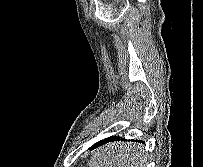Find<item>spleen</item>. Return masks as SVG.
Masks as SVG:
<instances>
[{"instance_id":"obj_1","label":"spleen","mask_w":203,"mask_h":167,"mask_svg":"<svg viewBox=\"0 0 203 167\" xmlns=\"http://www.w3.org/2000/svg\"><path fill=\"white\" fill-rule=\"evenodd\" d=\"M145 156L129 152L104 151L90 160V167H138V160ZM137 165V166H136Z\"/></svg>"}]
</instances>
